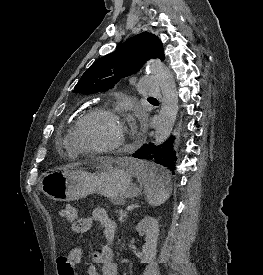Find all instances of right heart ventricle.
<instances>
[{
  "label": "right heart ventricle",
  "instance_id": "1",
  "mask_svg": "<svg viewBox=\"0 0 263 275\" xmlns=\"http://www.w3.org/2000/svg\"><path fill=\"white\" fill-rule=\"evenodd\" d=\"M67 142H68L67 144H68L69 148L71 149L68 139H67Z\"/></svg>",
  "mask_w": 263,
  "mask_h": 275
}]
</instances>
